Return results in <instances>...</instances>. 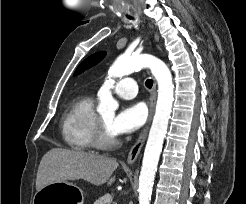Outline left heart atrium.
Wrapping results in <instances>:
<instances>
[{"label": "left heart atrium", "mask_w": 246, "mask_h": 204, "mask_svg": "<svg viewBox=\"0 0 246 204\" xmlns=\"http://www.w3.org/2000/svg\"><path fill=\"white\" fill-rule=\"evenodd\" d=\"M147 110L143 103L124 106L113 118L111 130L114 135L131 133L139 129L146 121Z\"/></svg>", "instance_id": "1"}]
</instances>
